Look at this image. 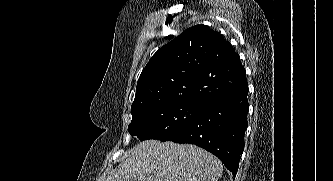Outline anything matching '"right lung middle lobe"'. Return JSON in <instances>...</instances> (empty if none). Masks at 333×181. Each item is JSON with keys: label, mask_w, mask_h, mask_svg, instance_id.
<instances>
[{"label": "right lung middle lobe", "mask_w": 333, "mask_h": 181, "mask_svg": "<svg viewBox=\"0 0 333 181\" xmlns=\"http://www.w3.org/2000/svg\"><path fill=\"white\" fill-rule=\"evenodd\" d=\"M203 104L195 102H165L132 112L128 132L141 141H167L183 131L198 115Z\"/></svg>", "instance_id": "obj_1"}]
</instances>
